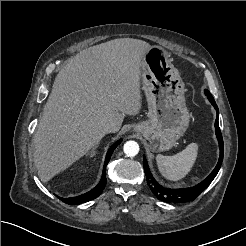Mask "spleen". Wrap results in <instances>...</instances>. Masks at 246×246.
Listing matches in <instances>:
<instances>
[{
  "label": "spleen",
  "mask_w": 246,
  "mask_h": 246,
  "mask_svg": "<svg viewBox=\"0 0 246 246\" xmlns=\"http://www.w3.org/2000/svg\"><path fill=\"white\" fill-rule=\"evenodd\" d=\"M197 155L198 144L190 143L184 150L173 156L157 155L156 162L163 177L171 181H178L191 171Z\"/></svg>",
  "instance_id": "3e777b00"
}]
</instances>
